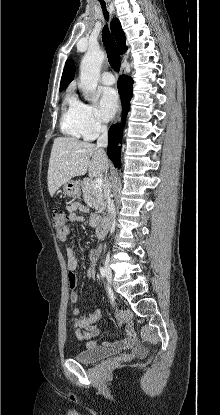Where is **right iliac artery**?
<instances>
[{
    "instance_id": "right-iliac-artery-1",
    "label": "right iliac artery",
    "mask_w": 220,
    "mask_h": 415,
    "mask_svg": "<svg viewBox=\"0 0 220 415\" xmlns=\"http://www.w3.org/2000/svg\"><path fill=\"white\" fill-rule=\"evenodd\" d=\"M100 274H101L102 278L105 277V272H104V269L102 267H100Z\"/></svg>"
}]
</instances>
